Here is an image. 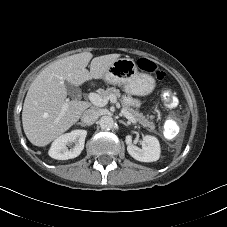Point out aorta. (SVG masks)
I'll return each mask as SVG.
<instances>
[{
	"instance_id": "1",
	"label": "aorta",
	"mask_w": 227,
	"mask_h": 227,
	"mask_svg": "<svg viewBox=\"0 0 227 227\" xmlns=\"http://www.w3.org/2000/svg\"><path fill=\"white\" fill-rule=\"evenodd\" d=\"M99 124L103 130H110L114 127V120L111 116H102Z\"/></svg>"
}]
</instances>
